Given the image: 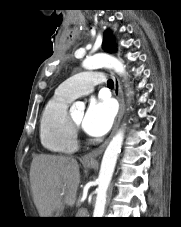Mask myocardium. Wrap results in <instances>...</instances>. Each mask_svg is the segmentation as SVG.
<instances>
[{
	"label": "myocardium",
	"instance_id": "obj_1",
	"mask_svg": "<svg viewBox=\"0 0 181 227\" xmlns=\"http://www.w3.org/2000/svg\"><path fill=\"white\" fill-rule=\"evenodd\" d=\"M69 122H70V124H71L73 130H74L75 132H77V131L79 130V128H80V125H79L78 123H76V122L73 120V118H72L71 115H69Z\"/></svg>",
	"mask_w": 181,
	"mask_h": 227
}]
</instances>
